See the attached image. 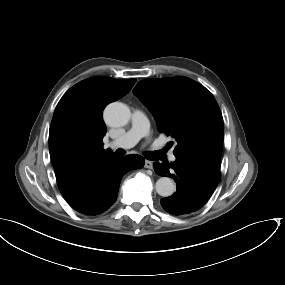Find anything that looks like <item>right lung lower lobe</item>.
I'll list each match as a JSON object with an SVG mask.
<instances>
[{
  "mask_svg": "<svg viewBox=\"0 0 285 285\" xmlns=\"http://www.w3.org/2000/svg\"><path fill=\"white\" fill-rule=\"evenodd\" d=\"M144 162L139 155L108 159L89 170L62 195L74 210L83 215L102 214L116 201L122 176L132 169H141Z\"/></svg>",
  "mask_w": 285,
  "mask_h": 285,
  "instance_id": "98d812e1",
  "label": "right lung lower lobe"
}]
</instances>
